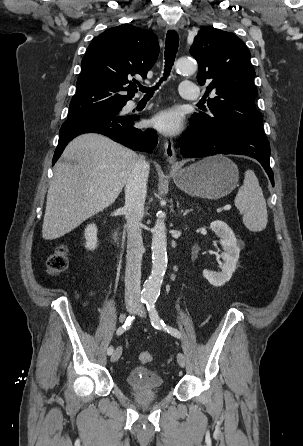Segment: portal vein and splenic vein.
<instances>
[{
	"label": "portal vein and splenic vein",
	"instance_id": "obj_1",
	"mask_svg": "<svg viewBox=\"0 0 303 446\" xmlns=\"http://www.w3.org/2000/svg\"><path fill=\"white\" fill-rule=\"evenodd\" d=\"M223 209H224L225 211H228V210L231 209V205H225Z\"/></svg>",
	"mask_w": 303,
	"mask_h": 446
}]
</instances>
